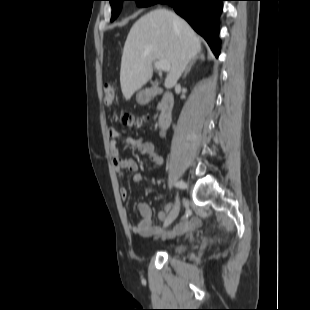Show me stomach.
<instances>
[{
    "instance_id": "obj_1",
    "label": "stomach",
    "mask_w": 310,
    "mask_h": 310,
    "mask_svg": "<svg viewBox=\"0 0 310 310\" xmlns=\"http://www.w3.org/2000/svg\"><path fill=\"white\" fill-rule=\"evenodd\" d=\"M138 100H139L140 102H143V99L141 98V94L138 95Z\"/></svg>"
}]
</instances>
